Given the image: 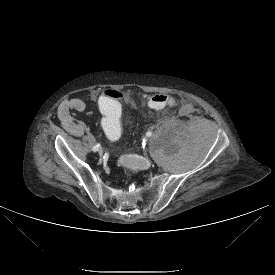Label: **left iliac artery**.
I'll return each mask as SVG.
<instances>
[{
    "label": "left iliac artery",
    "mask_w": 275,
    "mask_h": 275,
    "mask_svg": "<svg viewBox=\"0 0 275 275\" xmlns=\"http://www.w3.org/2000/svg\"><path fill=\"white\" fill-rule=\"evenodd\" d=\"M146 135H147L148 137H150V136L152 135V132H151V131H148V132L146 133Z\"/></svg>",
    "instance_id": "left-iliac-artery-1"
}]
</instances>
